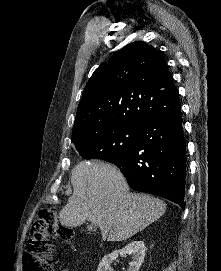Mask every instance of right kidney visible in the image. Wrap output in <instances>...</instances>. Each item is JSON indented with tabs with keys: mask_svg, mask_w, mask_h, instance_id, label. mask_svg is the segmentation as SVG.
<instances>
[{
	"mask_svg": "<svg viewBox=\"0 0 221 271\" xmlns=\"http://www.w3.org/2000/svg\"><path fill=\"white\" fill-rule=\"evenodd\" d=\"M146 245L144 241H130L122 249H114L112 253H107L99 261L97 271H110L113 259L120 255H131L127 271H139L145 257Z\"/></svg>",
	"mask_w": 221,
	"mask_h": 271,
	"instance_id": "obj_1",
	"label": "right kidney"
}]
</instances>
